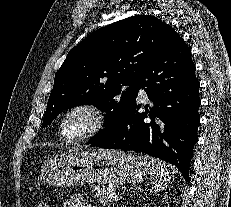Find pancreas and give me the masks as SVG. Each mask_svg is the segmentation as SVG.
Instances as JSON below:
<instances>
[{
	"mask_svg": "<svg viewBox=\"0 0 231 207\" xmlns=\"http://www.w3.org/2000/svg\"><path fill=\"white\" fill-rule=\"evenodd\" d=\"M92 192L103 206L116 201L115 197L117 196V193L115 189L94 186Z\"/></svg>",
	"mask_w": 231,
	"mask_h": 207,
	"instance_id": "pancreas-1",
	"label": "pancreas"
}]
</instances>
